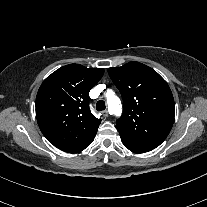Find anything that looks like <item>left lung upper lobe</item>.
<instances>
[{
  "label": "left lung upper lobe",
  "instance_id": "obj_1",
  "mask_svg": "<svg viewBox=\"0 0 207 207\" xmlns=\"http://www.w3.org/2000/svg\"><path fill=\"white\" fill-rule=\"evenodd\" d=\"M108 73L121 92L123 114L116 128L121 137L159 146L168 136L175 105L166 81L152 68L130 62Z\"/></svg>",
  "mask_w": 207,
  "mask_h": 207
}]
</instances>
